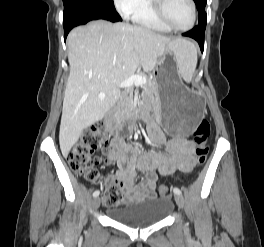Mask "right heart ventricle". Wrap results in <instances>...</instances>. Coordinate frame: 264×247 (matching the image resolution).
<instances>
[{"label":"right heart ventricle","instance_id":"obj_1","mask_svg":"<svg viewBox=\"0 0 264 247\" xmlns=\"http://www.w3.org/2000/svg\"><path fill=\"white\" fill-rule=\"evenodd\" d=\"M131 19L133 22L152 30L165 33L171 31L155 17L150 0H142L139 7L131 14Z\"/></svg>","mask_w":264,"mask_h":247}]
</instances>
